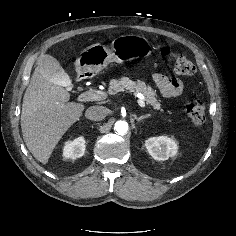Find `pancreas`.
<instances>
[{"mask_svg":"<svg viewBox=\"0 0 236 236\" xmlns=\"http://www.w3.org/2000/svg\"><path fill=\"white\" fill-rule=\"evenodd\" d=\"M109 92L115 94L118 92L141 93L146 103L155 110L162 111L161 105L156 98V92L142 81H132L128 77H121L118 80H111Z\"/></svg>","mask_w":236,"mask_h":236,"instance_id":"1","label":"pancreas"}]
</instances>
